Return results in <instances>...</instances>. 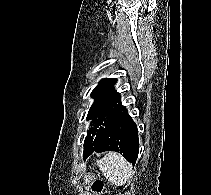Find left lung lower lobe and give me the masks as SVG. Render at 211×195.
Instances as JSON below:
<instances>
[{"label":"left lung lower lobe","instance_id":"obj_1","mask_svg":"<svg viewBox=\"0 0 211 195\" xmlns=\"http://www.w3.org/2000/svg\"><path fill=\"white\" fill-rule=\"evenodd\" d=\"M109 150L120 153L135 165L139 152L138 130L126 108L106 125L96 145L83 158L85 160L93 152Z\"/></svg>","mask_w":211,"mask_h":195}]
</instances>
